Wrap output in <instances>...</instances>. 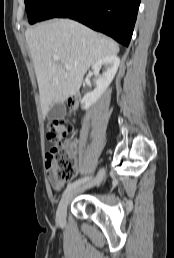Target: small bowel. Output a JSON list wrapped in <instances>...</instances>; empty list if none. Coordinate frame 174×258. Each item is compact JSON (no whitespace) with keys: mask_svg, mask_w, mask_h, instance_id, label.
I'll return each instance as SVG.
<instances>
[{"mask_svg":"<svg viewBox=\"0 0 174 258\" xmlns=\"http://www.w3.org/2000/svg\"><path fill=\"white\" fill-rule=\"evenodd\" d=\"M49 169L50 170H53V167L52 166H49ZM50 184L51 186L56 189V190H59L61 189V187L63 186V182L60 181L59 179H57L56 177L54 176H51L50 177Z\"/></svg>","mask_w":174,"mask_h":258,"instance_id":"1","label":"small bowel"}]
</instances>
